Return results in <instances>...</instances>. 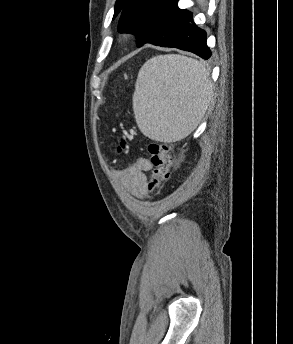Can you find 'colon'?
Here are the masks:
<instances>
[{
    "label": "colon",
    "mask_w": 293,
    "mask_h": 344,
    "mask_svg": "<svg viewBox=\"0 0 293 344\" xmlns=\"http://www.w3.org/2000/svg\"><path fill=\"white\" fill-rule=\"evenodd\" d=\"M124 147L125 140L121 139L117 146V150L120 151ZM148 153L152 165V172L147 182V190L153 193L169 180L173 160L170 146L165 143L151 142L148 145Z\"/></svg>",
    "instance_id": "5ec220e1"
}]
</instances>
